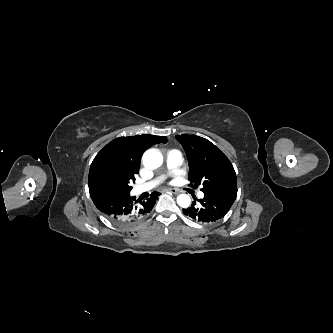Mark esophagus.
<instances>
[{"instance_id":"34e87169","label":"esophagus","mask_w":333,"mask_h":333,"mask_svg":"<svg viewBox=\"0 0 333 333\" xmlns=\"http://www.w3.org/2000/svg\"><path fill=\"white\" fill-rule=\"evenodd\" d=\"M167 192L173 193V194H179V191L175 188H169L166 190Z\"/></svg>"}]
</instances>
